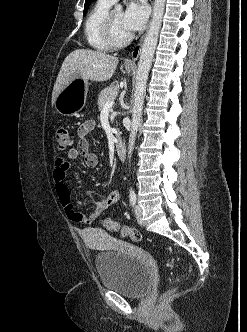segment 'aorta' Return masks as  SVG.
Wrapping results in <instances>:
<instances>
[{
	"instance_id": "obj_1",
	"label": "aorta",
	"mask_w": 247,
	"mask_h": 332,
	"mask_svg": "<svg viewBox=\"0 0 247 332\" xmlns=\"http://www.w3.org/2000/svg\"><path fill=\"white\" fill-rule=\"evenodd\" d=\"M166 0H155L152 19L149 30L145 36L143 46L141 49L140 59L138 63L135 93H134V106L132 110V123L129 135L128 145V158L130 160L134 149L136 134L141 123L142 110L144 104V97L146 93V85L150 67L155 53V48L158 41V35L162 24V19L165 10ZM115 11H122V5L117 4Z\"/></svg>"
}]
</instances>
